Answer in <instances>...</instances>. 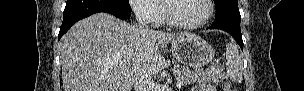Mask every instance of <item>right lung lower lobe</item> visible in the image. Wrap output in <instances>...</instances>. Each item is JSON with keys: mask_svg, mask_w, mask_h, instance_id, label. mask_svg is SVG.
Segmentation results:
<instances>
[{"mask_svg": "<svg viewBox=\"0 0 304 91\" xmlns=\"http://www.w3.org/2000/svg\"><path fill=\"white\" fill-rule=\"evenodd\" d=\"M98 12L110 13L122 20H127L131 16V12L115 6L113 0H67L58 39L75 22Z\"/></svg>", "mask_w": 304, "mask_h": 91, "instance_id": "1", "label": "right lung lower lobe"}]
</instances>
